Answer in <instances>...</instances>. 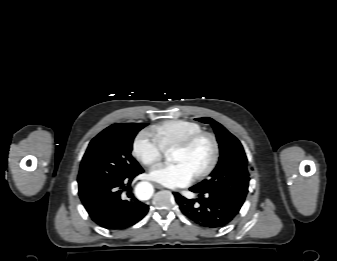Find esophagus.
Instances as JSON below:
<instances>
[{
  "label": "esophagus",
  "mask_w": 337,
  "mask_h": 261,
  "mask_svg": "<svg viewBox=\"0 0 337 261\" xmlns=\"http://www.w3.org/2000/svg\"><path fill=\"white\" fill-rule=\"evenodd\" d=\"M154 186H155L157 189H163V188H164L162 185L157 184V183H155Z\"/></svg>",
  "instance_id": "34e87169"
}]
</instances>
